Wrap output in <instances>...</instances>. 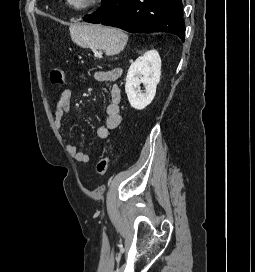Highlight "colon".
Masks as SVG:
<instances>
[{"instance_id": "colon-1", "label": "colon", "mask_w": 255, "mask_h": 272, "mask_svg": "<svg viewBox=\"0 0 255 272\" xmlns=\"http://www.w3.org/2000/svg\"><path fill=\"white\" fill-rule=\"evenodd\" d=\"M50 81L55 85H63L65 83V75L60 67H53L50 71ZM109 166V157L103 156L96 163V172L99 175H105Z\"/></svg>"}]
</instances>
